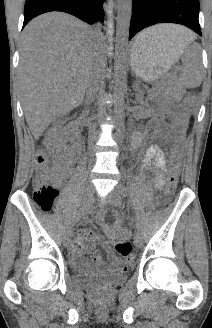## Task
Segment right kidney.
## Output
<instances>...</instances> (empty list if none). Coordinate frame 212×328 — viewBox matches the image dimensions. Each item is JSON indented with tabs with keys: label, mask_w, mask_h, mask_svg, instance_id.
Wrapping results in <instances>:
<instances>
[{
	"label": "right kidney",
	"mask_w": 212,
	"mask_h": 328,
	"mask_svg": "<svg viewBox=\"0 0 212 328\" xmlns=\"http://www.w3.org/2000/svg\"><path fill=\"white\" fill-rule=\"evenodd\" d=\"M64 124V120H59L55 123L52 130L55 133V137L58 141L62 139V137L65 135V133L62 130V126Z\"/></svg>",
	"instance_id": "1"
}]
</instances>
